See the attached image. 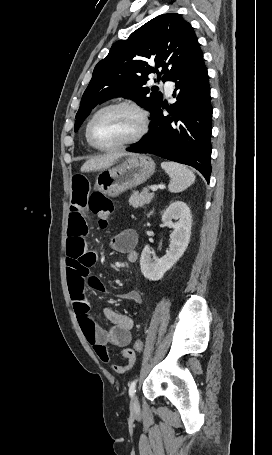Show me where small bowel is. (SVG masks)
<instances>
[{
    "instance_id": "small-bowel-1",
    "label": "small bowel",
    "mask_w": 272,
    "mask_h": 455,
    "mask_svg": "<svg viewBox=\"0 0 272 455\" xmlns=\"http://www.w3.org/2000/svg\"><path fill=\"white\" fill-rule=\"evenodd\" d=\"M89 194V178L83 173L75 174L71 183V206L67 233L68 286L75 314L87 342L104 363L110 361V346L119 349L120 355L127 360V364L124 366L113 365L112 368L116 373L123 374L129 371L136 361L135 352L127 347L132 340L133 320L127 314L105 308L103 314L111 326L108 329L102 328L91 313L86 294V289L90 286L95 290L104 291L101 282L90 275V269L97 260V254L89 248L85 239L88 233L86 210ZM137 242V233L132 229H125L112 237L109 246L124 254L128 262L134 263L138 259ZM120 297L137 304L142 302L141 293L135 289L124 292Z\"/></svg>"
}]
</instances>
